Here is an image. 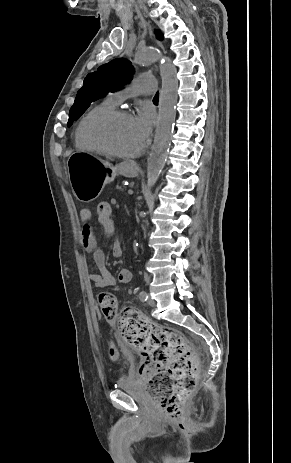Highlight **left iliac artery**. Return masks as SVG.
Listing matches in <instances>:
<instances>
[{"label": "left iliac artery", "instance_id": "left-iliac-artery-1", "mask_svg": "<svg viewBox=\"0 0 291 463\" xmlns=\"http://www.w3.org/2000/svg\"><path fill=\"white\" fill-rule=\"evenodd\" d=\"M139 299H140L142 302L146 301V300L148 299L147 293H146L145 291H141V292L139 293Z\"/></svg>", "mask_w": 291, "mask_h": 463}]
</instances>
